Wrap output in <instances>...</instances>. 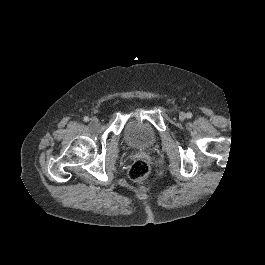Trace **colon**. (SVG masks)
Instances as JSON below:
<instances>
[{
	"label": "colon",
	"instance_id": "1",
	"mask_svg": "<svg viewBox=\"0 0 265 265\" xmlns=\"http://www.w3.org/2000/svg\"><path fill=\"white\" fill-rule=\"evenodd\" d=\"M128 173L132 180L145 182L150 174V166L145 160L138 159L132 163Z\"/></svg>",
	"mask_w": 265,
	"mask_h": 265
}]
</instances>
